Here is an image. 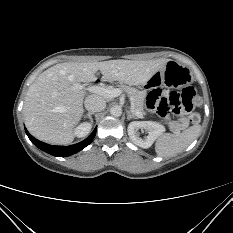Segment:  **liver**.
Masks as SVG:
<instances>
[{
    "label": "liver",
    "mask_w": 233,
    "mask_h": 233,
    "mask_svg": "<svg viewBox=\"0 0 233 233\" xmlns=\"http://www.w3.org/2000/svg\"><path fill=\"white\" fill-rule=\"evenodd\" d=\"M167 62L168 59H117L56 64L41 73L30 85L23 107L25 125L30 134L41 141L69 144L75 137V127L84 113L86 93L82 82L95 81V74L100 71L104 81L143 85Z\"/></svg>",
    "instance_id": "1"
}]
</instances>
